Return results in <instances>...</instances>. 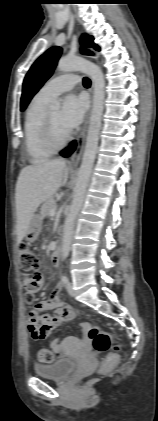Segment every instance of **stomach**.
<instances>
[{"instance_id":"stomach-1","label":"stomach","mask_w":158,"mask_h":421,"mask_svg":"<svg viewBox=\"0 0 158 421\" xmlns=\"http://www.w3.org/2000/svg\"><path fill=\"white\" fill-rule=\"evenodd\" d=\"M41 229H42V215L34 214L30 221V224L26 233V240L28 242H34L37 239Z\"/></svg>"}]
</instances>
